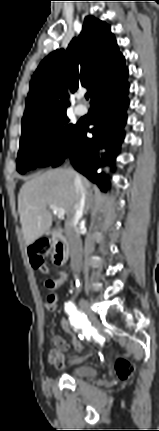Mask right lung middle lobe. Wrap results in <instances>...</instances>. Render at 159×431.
<instances>
[{
  "instance_id": "right-lung-middle-lobe-1",
  "label": "right lung middle lobe",
  "mask_w": 159,
  "mask_h": 431,
  "mask_svg": "<svg viewBox=\"0 0 159 431\" xmlns=\"http://www.w3.org/2000/svg\"><path fill=\"white\" fill-rule=\"evenodd\" d=\"M80 122H69L66 112L53 116L22 131L17 157V171L24 174L39 165H49L77 130ZM47 148H53L48 158L43 157Z\"/></svg>"
}]
</instances>
